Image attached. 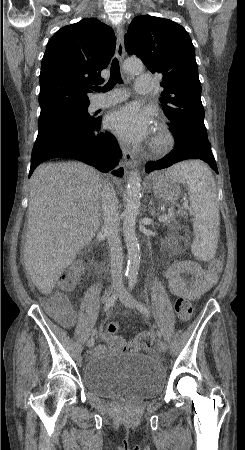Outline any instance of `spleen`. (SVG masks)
Returning <instances> with one entry per match:
<instances>
[{
  "instance_id": "3e777b00",
  "label": "spleen",
  "mask_w": 245,
  "mask_h": 450,
  "mask_svg": "<svg viewBox=\"0 0 245 450\" xmlns=\"http://www.w3.org/2000/svg\"><path fill=\"white\" fill-rule=\"evenodd\" d=\"M167 174L189 188L190 213L193 215L195 239L192 253L201 261L212 259L219 235L218 194L210 169L201 161H185L173 165Z\"/></svg>"
}]
</instances>
